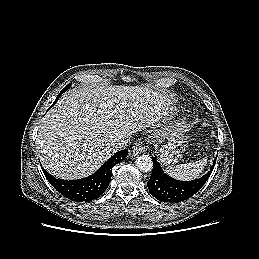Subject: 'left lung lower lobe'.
I'll use <instances>...</instances> for the list:
<instances>
[{"label": "left lung lower lobe", "instance_id": "0a47b994", "mask_svg": "<svg viewBox=\"0 0 259 259\" xmlns=\"http://www.w3.org/2000/svg\"><path fill=\"white\" fill-rule=\"evenodd\" d=\"M216 158L207 174L199 179L184 182L171 178L164 173L157 161V157H152L153 171L151 178L147 182L150 194L160 201L170 203H178L192 197L210 177L216 163Z\"/></svg>", "mask_w": 259, "mask_h": 259}]
</instances>
